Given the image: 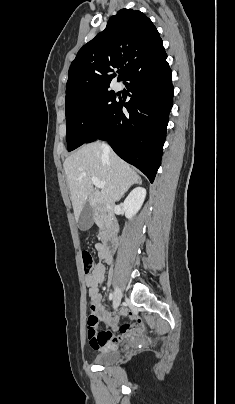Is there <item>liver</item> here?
<instances>
[{
    "mask_svg": "<svg viewBox=\"0 0 235 404\" xmlns=\"http://www.w3.org/2000/svg\"><path fill=\"white\" fill-rule=\"evenodd\" d=\"M63 166L76 220L87 201L92 208L113 204L141 181L128 163L112 150L105 152L104 143L99 141L80 147L65 159ZM92 177L105 182L100 191L94 189Z\"/></svg>",
    "mask_w": 235,
    "mask_h": 404,
    "instance_id": "6515ba94",
    "label": "liver"
}]
</instances>
